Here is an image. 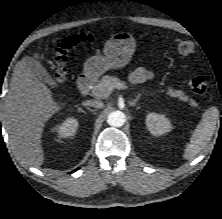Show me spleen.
<instances>
[{"label":"spleen","mask_w":222,"mask_h":219,"mask_svg":"<svg viewBox=\"0 0 222 219\" xmlns=\"http://www.w3.org/2000/svg\"><path fill=\"white\" fill-rule=\"evenodd\" d=\"M219 111L216 107H210L203 115L202 120L193 132L190 143L185 147L183 158H194L210 141L216 129Z\"/></svg>","instance_id":"obj_1"}]
</instances>
